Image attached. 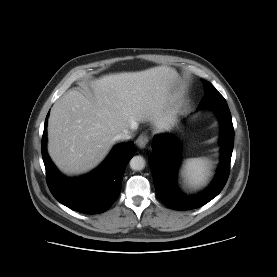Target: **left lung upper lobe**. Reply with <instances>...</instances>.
<instances>
[{
    "mask_svg": "<svg viewBox=\"0 0 277 277\" xmlns=\"http://www.w3.org/2000/svg\"><path fill=\"white\" fill-rule=\"evenodd\" d=\"M205 86V95L202 98L198 108H202L208 105H211L215 102L226 101L224 97L210 84L205 80H201Z\"/></svg>",
    "mask_w": 277,
    "mask_h": 277,
    "instance_id": "obj_1",
    "label": "left lung upper lobe"
}]
</instances>
